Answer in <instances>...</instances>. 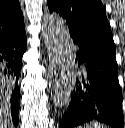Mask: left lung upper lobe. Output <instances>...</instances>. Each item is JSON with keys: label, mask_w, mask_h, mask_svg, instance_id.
<instances>
[{"label": "left lung upper lobe", "mask_w": 125, "mask_h": 128, "mask_svg": "<svg viewBox=\"0 0 125 128\" xmlns=\"http://www.w3.org/2000/svg\"><path fill=\"white\" fill-rule=\"evenodd\" d=\"M47 4L50 12L66 19L74 43L115 53L111 27L100 0H47Z\"/></svg>", "instance_id": "obj_1"}]
</instances>
